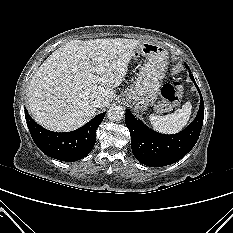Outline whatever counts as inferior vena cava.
<instances>
[{
    "instance_id": "obj_1",
    "label": "inferior vena cava",
    "mask_w": 233,
    "mask_h": 233,
    "mask_svg": "<svg viewBox=\"0 0 233 233\" xmlns=\"http://www.w3.org/2000/svg\"><path fill=\"white\" fill-rule=\"evenodd\" d=\"M104 105V99L101 97H97L94 101H93V106L95 108H99L102 107Z\"/></svg>"
}]
</instances>
